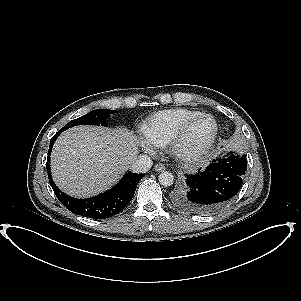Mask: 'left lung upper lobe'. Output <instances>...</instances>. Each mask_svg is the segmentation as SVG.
Listing matches in <instances>:
<instances>
[{"label":"left lung upper lobe","instance_id":"obj_1","mask_svg":"<svg viewBox=\"0 0 301 301\" xmlns=\"http://www.w3.org/2000/svg\"><path fill=\"white\" fill-rule=\"evenodd\" d=\"M180 188H181V186L173 193L172 200H173L174 203H175V194H176V192H177Z\"/></svg>","mask_w":301,"mask_h":301}]
</instances>
